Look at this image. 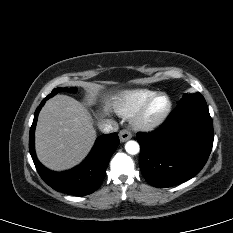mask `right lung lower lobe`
Instances as JSON below:
<instances>
[{"label":"right lung lower lobe","instance_id":"1","mask_svg":"<svg viewBox=\"0 0 233 233\" xmlns=\"http://www.w3.org/2000/svg\"><path fill=\"white\" fill-rule=\"evenodd\" d=\"M46 100L47 98L43 99L36 109L29 133V150L35 167L44 182L56 191L74 196L91 194L103 182L109 160L119 145L118 134L111 133L98 137L91 152L79 166L64 172L50 171L38 161L34 149L38 113Z\"/></svg>","mask_w":233,"mask_h":233}]
</instances>
